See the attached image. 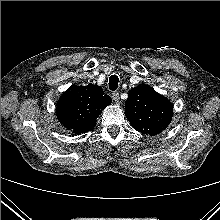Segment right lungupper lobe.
Listing matches in <instances>:
<instances>
[{
    "instance_id": "1",
    "label": "right lung upper lobe",
    "mask_w": 220,
    "mask_h": 220,
    "mask_svg": "<svg viewBox=\"0 0 220 220\" xmlns=\"http://www.w3.org/2000/svg\"><path fill=\"white\" fill-rule=\"evenodd\" d=\"M112 103L101 87L71 85L57 102L56 113L60 123L73 134L87 132L96 126L101 110Z\"/></svg>"
}]
</instances>
